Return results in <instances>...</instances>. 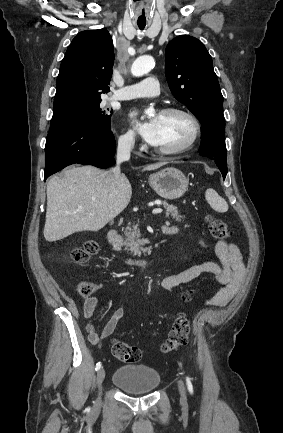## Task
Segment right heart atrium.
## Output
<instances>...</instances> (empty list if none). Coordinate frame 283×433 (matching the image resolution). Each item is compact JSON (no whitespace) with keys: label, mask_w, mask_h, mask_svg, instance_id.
Segmentation results:
<instances>
[{"label":"right heart atrium","mask_w":283,"mask_h":433,"mask_svg":"<svg viewBox=\"0 0 283 433\" xmlns=\"http://www.w3.org/2000/svg\"><path fill=\"white\" fill-rule=\"evenodd\" d=\"M117 142L123 149H131L134 146L135 138L131 131H125L118 135Z\"/></svg>","instance_id":"1"}]
</instances>
